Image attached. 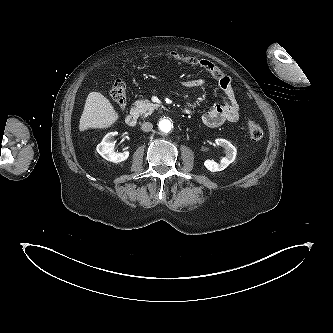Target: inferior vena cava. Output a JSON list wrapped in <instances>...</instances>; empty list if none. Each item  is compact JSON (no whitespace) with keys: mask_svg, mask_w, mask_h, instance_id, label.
Wrapping results in <instances>:
<instances>
[{"mask_svg":"<svg viewBox=\"0 0 333 333\" xmlns=\"http://www.w3.org/2000/svg\"><path fill=\"white\" fill-rule=\"evenodd\" d=\"M152 128H153V125H152V123H150V122H145V123H143L142 126H141V129H142L144 132H149V131L152 130Z\"/></svg>","mask_w":333,"mask_h":333,"instance_id":"1","label":"inferior vena cava"}]
</instances>
